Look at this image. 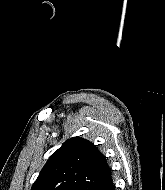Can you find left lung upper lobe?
Returning a JSON list of instances; mask_svg holds the SVG:
<instances>
[{
  "label": "left lung upper lobe",
  "mask_w": 165,
  "mask_h": 190,
  "mask_svg": "<svg viewBox=\"0 0 165 190\" xmlns=\"http://www.w3.org/2000/svg\"><path fill=\"white\" fill-rule=\"evenodd\" d=\"M110 175L111 168L96 146L73 137L51 155L32 190H100Z\"/></svg>",
  "instance_id": "1"
}]
</instances>
